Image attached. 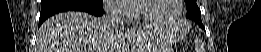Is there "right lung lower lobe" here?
<instances>
[{
  "label": "right lung lower lobe",
  "mask_w": 261,
  "mask_h": 52,
  "mask_svg": "<svg viewBox=\"0 0 261 52\" xmlns=\"http://www.w3.org/2000/svg\"><path fill=\"white\" fill-rule=\"evenodd\" d=\"M85 11L95 16L104 13L103 3L83 0H42L39 26L50 16L65 11Z\"/></svg>",
  "instance_id": "1"
}]
</instances>
